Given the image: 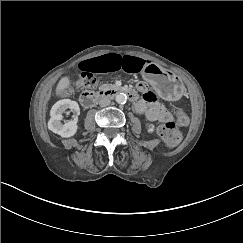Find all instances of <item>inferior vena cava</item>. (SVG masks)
Returning <instances> with one entry per match:
<instances>
[{"label": "inferior vena cava", "mask_w": 243, "mask_h": 243, "mask_svg": "<svg viewBox=\"0 0 243 243\" xmlns=\"http://www.w3.org/2000/svg\"><path fill=\"white\" fill-rule=\"evenodd\" d=\"M99 105L101 107H106L110 105V99L107 96H103L99 99Z\"/></svg>", "instance_id": "1"}]
</instances>
